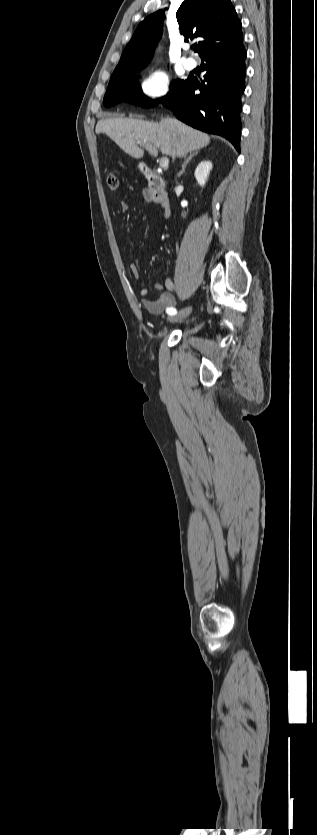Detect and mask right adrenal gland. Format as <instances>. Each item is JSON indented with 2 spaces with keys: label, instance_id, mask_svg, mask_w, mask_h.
I'll return each instance as SVG.
<instances>
[{
  "label": "right adrenal gland",
  "instance_id": "right-adrenal-gland-1",
  "mask_svg": "<svg viewBox=\"0 0 317 835\" xmlns=\"http://www.w3.org/2000/svg\"><path fill=\"white\" fill-rule=\"evenodd\" d=\"M198 152H199V151H195V152L191 153V154H190V155H189V156L185 159V161H184V163H183V165H182V169H181V171L177 174V177H180V176H181V175L185 172V169H186L187 164L190 162V160H191L194 156H196V155L198 154Z\"/></svg>",
  "mask_w": 317,
  "mask_h": 835
}]
</instances>
